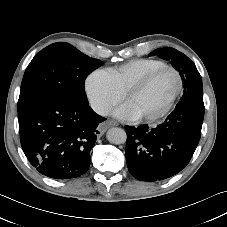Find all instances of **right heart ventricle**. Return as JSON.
I'll list each match as a JSON object with an SVG mask.
<instances>
[{
	"label": "right heart ventricle",
	"instance_id": "1",
	"mask_svg": "<svg viewBox=\"0 0 227 227\" xmlns=\"http://www.w3.org/2000/svg\"><path fill=\"white\" fill-rule=\"evenodd\" d=\"M165 65H167L165 62L158 59L141 58L105 70L123 94L147 74Z\"/></svg>",
	"mask_w": 227,
	"mask_h": 227
}]
</instances>
